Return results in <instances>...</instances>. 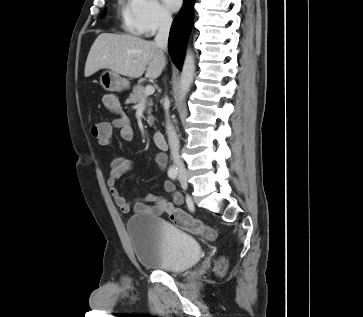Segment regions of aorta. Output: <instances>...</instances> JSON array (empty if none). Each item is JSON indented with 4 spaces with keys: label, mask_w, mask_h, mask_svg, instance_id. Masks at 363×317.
<instances>
[{
    "label": "aorta",
    "mask_w": 363,
    "mask_h": 317,
    "mask_svg": "<svg viewBox=\"0 0 363 317\" xmlns=\"http://www.w3.org/2000/svg\"><path fill=\"white\" fill-rule=\"evenodd\" d=\"M195 75V59L191 51L186 52L181 76H180V92L182 96L186 95L190 90Z\"/></svg>",
    "instance_id": "aorta-1"
}]
</instances>
